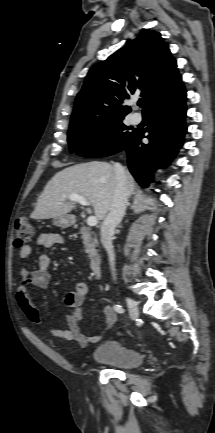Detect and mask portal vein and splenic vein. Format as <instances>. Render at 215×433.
<instances>
[{
  "instance_id": "18ae733b",
  "label": "portal vein and splenic vein",
  "mask_w": 215,
  "mask_h": 433,
  "mask_svg": "<svg viewBox=\"0 0 215 433\" xmlns=\"http://www.w3.org/2000/svg\"><path fill=\"white\" fill-rule=\"evenodd\" d=\"M68 199L71 200V201H74V202H78V203H80L83 206H88L89 205V202L87 201V199H85L84 197H82L80 195L73 194V195H70L68 197ZM97 223H98L97 217H95V216H89L87 218V224L89 226H96Z\"/></svg>"
}]
</instances>
